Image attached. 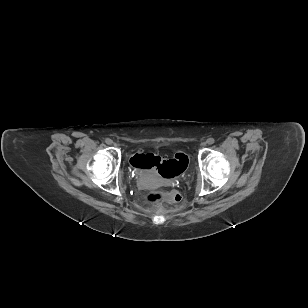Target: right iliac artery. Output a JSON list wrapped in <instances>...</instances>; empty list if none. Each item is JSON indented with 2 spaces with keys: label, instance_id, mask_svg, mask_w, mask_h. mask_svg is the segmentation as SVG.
I'll return each mask as SVG.
<instances>
[{
  "label": "right iliac artery",
  "instance_id": "right-iliac-artery-1",
  "mask_svg": "<svg viewBox=\"0 0 308 308\" xmlns=\"http://www.w3.org/2000/svg\"><path fill=\"white\" fill-rule=\"evenodd\" d=\"M105 142H106L107 144H111V143H112V140L109 139V138H107V139L105 140Z\"/></svg>",
  "mask_w": 308,
  "mask_h": 308
}]
</instances>
